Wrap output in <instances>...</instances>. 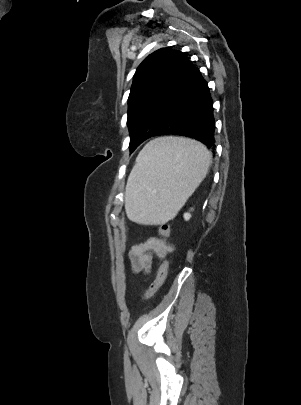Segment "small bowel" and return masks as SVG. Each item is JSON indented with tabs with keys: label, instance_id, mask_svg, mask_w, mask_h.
Returning <instances> with one entry per match:
<instances>
[{
	"label": "small bowel",
	"instance_id": "1",
	"mask_svg": "<svg viewBox=\"0 0 301 405\" xmlns=\"http://www.w3.org/2000/svg\"><path fill=\"white\" fill-rule=\"evenodd\" d=\"M172 245L159 237H149L133 245L129 251L132 272L139 274L151 273L153 266V254L159 258L165 257L172 251Z\"/></svg>",
	"mask_w": 301,
	"mask_h": 405
}]
</instances>
